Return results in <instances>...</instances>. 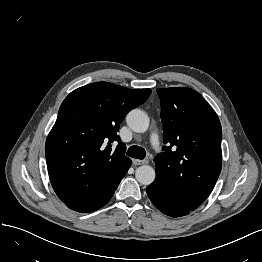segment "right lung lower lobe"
<instances>
[{
	"label": "right lung lower lobe",
	"instance_id": "98d812e1",
	"mask_svg": "<svg viewBox=\"0 0 262 262\" xmlns=\"http://www.w3.org/2000/svg\"><path fill=\"white\" fill-rule=\"evenodd\" d=\"M131 166V165H130ZM130 166L128 167V169L130 168ZM127 169V171H128ZM127 173V172H126ZM114 194V193H113ZM110 195L107 199L99 202V203H93V204H77V205H72V204H66L70 209L75 210L77 212H82V213H88V212H92L95 211L101 207H103L105 204L108 203V201L111 199V197L113 196Z\"/></svg>",
	"mask_w": 262,
	"mask_h": 262
}]
</instances>
